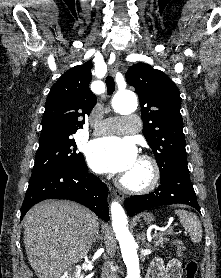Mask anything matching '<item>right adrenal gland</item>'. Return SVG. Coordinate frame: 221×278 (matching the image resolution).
Instances as JSON below:
<instances>
[{"mask_svg":"<svg viewBox=\"0 0 221 278\" xmlns=\"http://www.w3.org/2000/svg\"><path fill=\"white\" fill-rule=\"evenodd\" d=\"M99 239H100L99 230H97L96 235L93 239V243H96V241L99 240Z\"/></svg>","mask_w":221,"mask_h":278,"instance_id":"obj_1","label":"right adrenal gland"}]
</instances>
